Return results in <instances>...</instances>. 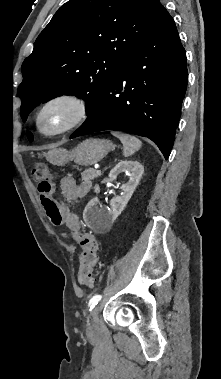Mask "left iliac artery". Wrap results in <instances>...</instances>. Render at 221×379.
Masks as SVG:
<instances>
[{
	"label": "left iliac artery",
	"mask_w": 221,
	"mask_h": 379,
	"mask_svg": "<svg viewBox=\"0 0 221 379\" xmlns=\"http://www.w3.org/2000/svg\"><path fill=\"white\" fill-rule=\"evenodd\" d=\"M101 298H102L101 295H98V294L94 295L89 301V304H88L89 309L92 310L101 300Z\"/></svg>",
	"instance_id": "left-iliac-artery-1"
}]
</instances>
